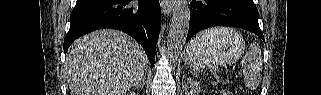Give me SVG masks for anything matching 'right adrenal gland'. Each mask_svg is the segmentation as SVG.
Masks as SVG:
<instances>
[{
	"instance_id": "2a0ac1e0",
	"label": "right adrenal gland",
	"mask_w": 321,
	"mask_h": 95,
	"mask_svg": "<svg viewBox=\"0 0 321 95\" xmlns=\"http://www.w3.org/2000/svg\"><path fill=\"white\" fill-rule=\"evenodd\" d=\"M144 84H145V77L139 82V84L136 85L135 90H137L139 87L143 89Z\"/></svg>"
}]
</instances>
